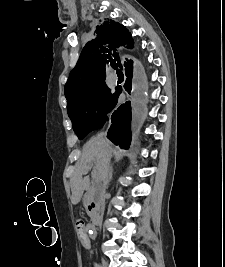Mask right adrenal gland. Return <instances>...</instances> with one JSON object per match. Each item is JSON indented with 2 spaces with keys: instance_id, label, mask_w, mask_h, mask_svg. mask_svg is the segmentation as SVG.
<instances>
[{
  "instance_id": "obj_1",
  "label": "right adrenal gland",
  "mask_w": 225,
  "mask_h": 267,
  "mask_svg": "<svg viewBox=\"0 0 225 267\" xmlns=\"http://www.w3.org/2000/svg\"><path fill=\"white\" fill-rule=\"evenodd\" d=\"M112 175H113V166L110 167V180L112 179Z\"/></svg>"
}]
</instances>
